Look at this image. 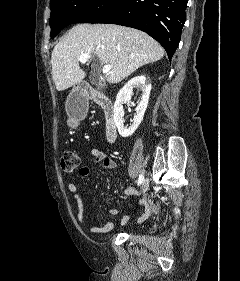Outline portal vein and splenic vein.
<instances>
[{"label": "portal vein and splenic vein", "mask_w": 240, "mask_h": 281, "mask_svg": "<svg viewBox=\"0 0 240 281\" xmlns=\"http://www.w3.org/2000/svg\"><path fill=\"white\" fill-rule=\"evenodd\" d=\"M89 59H90V55H89V54H82V55H80V57H79V61H80L81 63H86ZM110 71H111V66H110V65H105V66L102 68V72H103L104 74H108Z\"/></svg>", "instance_id": "portal-vein-and-splenic-vein-1"}]
</instances>
